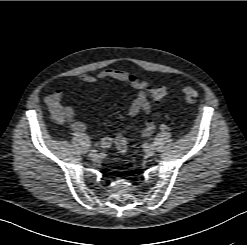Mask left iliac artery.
<instances>
[{
	"mask_svg": "<svg viewBox=\"0 0 247 245\" xmlns=\"http://www.w3.org/2000/svg\"><path fill=\"white\" fill-rule=\"evenodd\" d=\"M160 129H161V130H166V129H167V126H166L165 124H162V125L160 126Z\"/></svg>",
	"mask_w": 247,
	"mask_h": 245,
	"instance_id": "left-iliac-artery-1",
	"label": "left iliac artery"
}]
</instances>
